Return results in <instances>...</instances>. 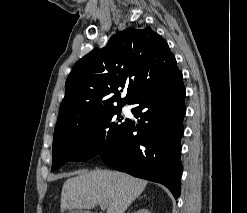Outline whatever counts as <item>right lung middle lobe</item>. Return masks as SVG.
Segmentation results:
<instances>
[{
    "instance_id": "1",
    "label": "right lung middle lobe",
    "mask_w": 247,
    "mask_h": 213,
    "mask_svg": "<svg viewBox=\"0 0 247 213\" xmlns=\"http://www.w3.org/2000/svg\"><path fill=\"white\" fill-rule=\"evenodd\" d=\"M122 106L109 109L83 125L54 136L52 170L68 161H85L112 149L128 121L122 122Z\"/></svg>"
}]
</instances>
